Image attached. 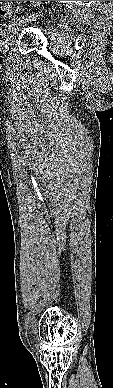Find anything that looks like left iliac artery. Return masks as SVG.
Wrapping results in <instances>:
<instances>
[{"instance_id":"1","label":"left iliac artery","mask_w":113,"mask_h":388,"mask_svg":"<svg viewBox=\"0 0 113 388\" xmlns=\"http://www.w3.org/2000/svg\"><path fill=\"white\" fill-rule=\"evenodd\" d=\"M37 17H38L37 14H32V15H30V16L28 17L27 20H35ZM23 19H24V17H17V18H14V19L11 21L9 27H11V26L14 25V24H20V23L23 21Z\"/></svg>"}]
</instances>
